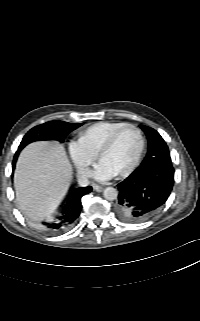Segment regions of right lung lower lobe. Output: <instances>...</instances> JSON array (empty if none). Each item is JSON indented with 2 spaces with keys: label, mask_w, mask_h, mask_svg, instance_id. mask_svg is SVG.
Returning <instances> with one entry per match:
<instances>
[{
  "label": "right lung lower lobe",
  "mask_w": 200,
  "mask_h": 321,
  "mask_svg": "<svg viewBox=\"0 0 200 321\" xmlns=\"http://www.w3.org/2000/svg\"><path fill=\"white\" fill-rule=\"evenodd\" d=\"M19 152L17 151L14 156L12 163L13 170ZM91 191V186L71 189L62 212L54 220L44 223L45 229L50 233H58L69 228L80 214L82 209L81 198Z\"/></svg>",
  "instance_id": "obj_1"
}]
</instances>
